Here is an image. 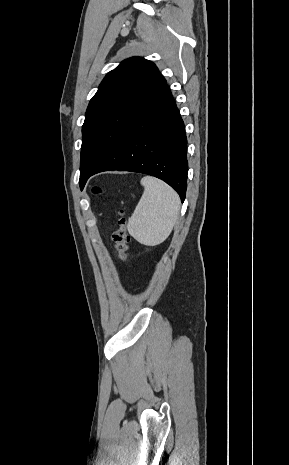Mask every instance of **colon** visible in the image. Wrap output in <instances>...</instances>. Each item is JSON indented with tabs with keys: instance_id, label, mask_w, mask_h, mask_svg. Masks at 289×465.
Listing matches in <instances>:
<instances>
[{
	"instance_id": "obj_1",
	"label": "colon",
	"mask_w": 289,
	"mask_h": 465,
	"mask_svg": "<svg viewBox=\"0 0 289 465\" xmlns=\"http://www.w3.org/2000/svg\"><path fill=\"white\" fill-rule=\"evenodd\" d=\"M93 192L95 194H100L101 189L98 187H94ZM127 228L128 220L124 212L121 211L120 217L118 219V228L112 233V241L114 243V247L119 259L128 267L129 243L131 237L128 234Z\"/></svg>"
}]
</instances>
